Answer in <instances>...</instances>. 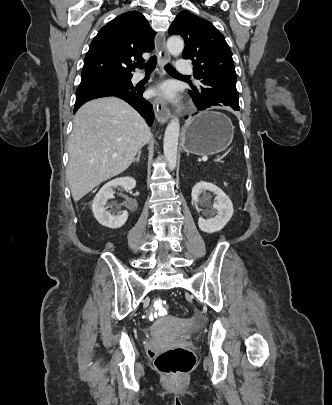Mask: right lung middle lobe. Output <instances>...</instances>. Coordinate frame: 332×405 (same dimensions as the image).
I'll list each match as a JSON object with an SVG mask.
<instances>
[{
  "label": "right lung middle lobe",
  "instance_id": "right-lung-middle-lobe-1",
  "mask_svg": "<svg viewBox=\"0 0 332 405\" xmlns=\"http://www.w3.org/2000/svg\"><path fill=\"white\" fill-rule=\"evenodd\" d=\"M131 76H121V75H113V74H105V75H94V76H82L81 83L79 86L95 83V82H112L118 84H132L131 83Z\"/></svg>",
  "mask_w": 332,
  "mask_h": 405
}]
</instances>
